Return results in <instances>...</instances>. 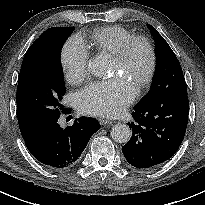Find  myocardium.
Segmentation results:
<instances>
[{
	"instance_id": "f54148a6",
	"label": "myocardium",
	"mask_w": 205,
	"mask_h": 205,
	"mask_svg": "<svg viewBox=\"0 0 205 205\" xmlns=\"http://www.w3.org/2000/svg\"><path fill=\"white\" fill-rule=\"evenodd\" d=\"M137 44L143 45L148 53V66L146 72L137 82V87L139 89H143L151 82L157 65L156 51L152 42L144 36H134L122 45L120 50L114 55V60L120 64H123L131 54L133 47Z\"/></svg>"
}]
</instances>
